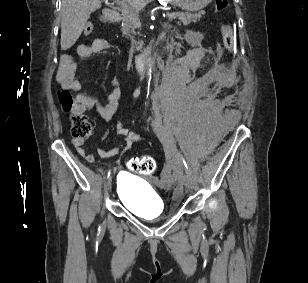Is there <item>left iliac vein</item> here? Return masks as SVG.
<instances>
[{
  "label": "left iliac vein",
  "instance_id": "left-iliac-vein-1",
  "mask_svg": "<svg viewBox=\"0 0 308 283\" xmlns=\"http://www.w3.org/2000/svg\"><path fill=\"white\" fill-rule=\"evenodd\" d=\"M182 182L188 190H191L193 188L194 181H193L192 176L189 173H186L183 176Z\"/></svg>",
  "mask_w": 308,
  "mask_h": 283
}]
</instances>
